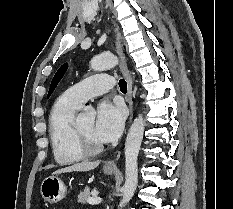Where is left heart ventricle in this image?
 <instances>
[{"mask_svg": "<svg viewBox=\"0 0 233 209\" xmlns=\"http://www.w3.org/2000/svg\"><path fill=\"white\" fill-rule=\"evenodd\" d=\"M78 127L83 133V135L92 143V144H100L93 136L94 129V119H88L83 122L78 123Z\"/></svg>", "mask_w": 233, "mask_h": 209, "instance_id": "b2bd125f", "label": "left heart ventricle"}]
</instances>
